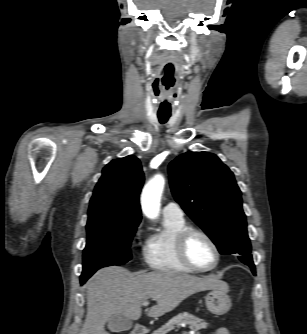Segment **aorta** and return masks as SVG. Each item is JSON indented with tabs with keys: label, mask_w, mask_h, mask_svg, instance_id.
I'll return each mask as SVG.
<instances>
[{
	"label": "aorta",
	"mask_w": 307,
	"mask_h": 334,
	"mask_svg": "<svg viewBox=\"0 0 307 334\" xmlns=\"http://www.w3.org/2000/svg\"><path fill=\"white\" fill-rule=\"evenodd\" d=\"M164 185V177L156 175L143 188L141 195L142 211L150 219H155L159 215Z\"/></svg>",
	"instance_id": "1"
}]
</instances>
